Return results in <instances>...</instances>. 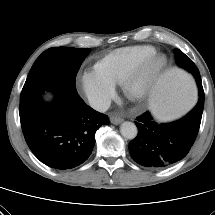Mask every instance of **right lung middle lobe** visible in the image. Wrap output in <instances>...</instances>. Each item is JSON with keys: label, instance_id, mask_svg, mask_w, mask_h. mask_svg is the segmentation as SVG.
I'll use <instances>...</instances> for the list:
<instances>
[{"label": "right lung middle lobe", "instance_id": "obj_1", "mask_svg": "<svg viewBox=\"0 0 215 215\" xmlns=\"http://www.w3.org/2000/svg\"><path fill=\"white\" fill-rule=\"evenodd\" d=\"M90 53L88 48L57 47L43 52L34 62L20 96V121L26 123L43 102L45 90L56 94L75 85L76 74Z\"/></svg>", "mask_w": 215, "mask_h": 215}]
</instances>
